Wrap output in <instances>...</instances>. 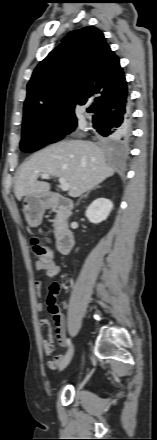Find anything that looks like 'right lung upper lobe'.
<instances>
[{
  "instance_id": "right-lung-upper-lobe-1",
  "label": "right lung upper lobe",
  "mask_w": 157,
  "mask_h": 440,
  "mask_svg": "<svg viewBox=\"0 0 157 440\" xmlns=\"http://www.w3.org/2000/svg\"><path fill=\"white\" fill-rule=\"evenodd\" d=\"M127 96L119 58L103 33L88 26L71 31L36 67L27 85L23 125L76 122L77 105L91 102L96 111Z\"/></svg>"
}]
</instances>
